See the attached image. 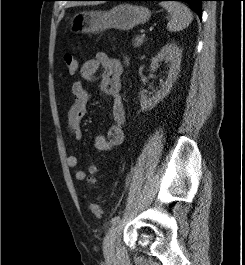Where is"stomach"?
<instances>
[{"label":"stomach","instance_id":"1","mask_svg":"<svg viewBox=\"0 0 245 265\" xmlns=\"http://www.w3.org/2000/svg\"><path fill=\"white\" fill-rule=\"evenodd\" d=\"M151 12L144 6L119 4L109 11H83L70 22L74 33H99L109 28L130 30L149 20Z\"/></svg>","mask_w":245,"mask_h":265}]
</instances>
